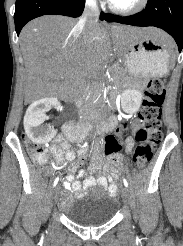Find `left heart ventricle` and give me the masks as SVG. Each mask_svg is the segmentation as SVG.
Instances as JSON below:
<instances>
[{
	"label": "left heart ventricle",
	"mask_w": 183,
	"mask_h": 246,
	"mask_svg": "<svg viewBox=\"0 0 183 246\" xmlns=\"http://www.w3.org/2000/svg\"><path fill=\"white\" fill-rule=\"evenodd\" d=\"M111 1L120 7H130L137 2V0H111Z\"/></svg>",
	"instance_id": "obj_1"
}]
</instances>
